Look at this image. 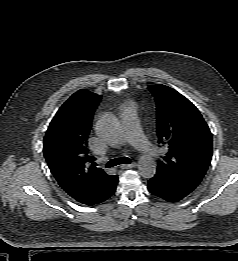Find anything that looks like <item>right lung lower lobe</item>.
Masks as SVG:
<instances>
[{"mask_svg": "<svg viewBox=\"0 0 238 261\" xmlns=\"http://www.w3.org/2000/svg\"><path fill=\"white\" fill-rule=\"evenodd\" d=\"M117 183H118V176H116V178L112 180V182L100 195H98L95 199H93L90 203L86 205L89 206L96 205L109 199L115 193Z\"/></svg>", "mask_w": 238, "mask_h": 261, "instance_id": "right-lung-lower-lobe-1", "label": "right lung lower lobe"}]
</instances>
